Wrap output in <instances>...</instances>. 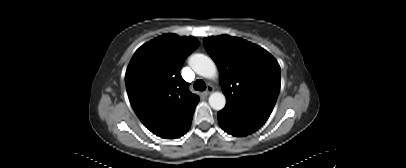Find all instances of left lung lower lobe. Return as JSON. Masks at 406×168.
<instances>
[{
	"label": "left lung lower lobe",
	"instance_id": "left-lung-lower-lobe-1",
	"mask_svg": "<svg viewBox=\"0 0 406 168\" xmlns=\"http://www.w3.org/2000/svg\"><path fill=\"white\" fill-rule=\"evenodd\" d=\"M221 128L233 136H246L259 129L267 118L226 105L218 112Z\"/></svg>",
	"mask_w": 406,
	"mask_h": 168
}]
</instances>
